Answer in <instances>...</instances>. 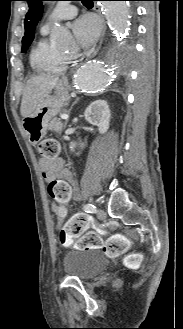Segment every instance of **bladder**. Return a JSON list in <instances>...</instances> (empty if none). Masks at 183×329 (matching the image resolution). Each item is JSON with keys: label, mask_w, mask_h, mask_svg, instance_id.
I'll use <instances>...</instances> for the list:
<instances>
[{"label": "bladder", "mask_w": 183, "mask_h": 329, "mask_svg": "<svg viewBox=\"0 0 183 329\" xmlns=\"http://www.w3.org/2000/svg\"><path fill=\"white\" fill-rule=\"evenodd\" d=\"M107 265L108 260L96 249L69 250L63 257L64 272L80 280L93 278Z\"/></svg>", "instance_id": "31cf9c89"}]
</instances>
